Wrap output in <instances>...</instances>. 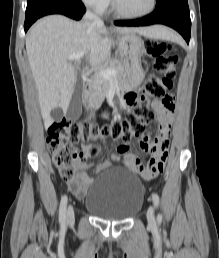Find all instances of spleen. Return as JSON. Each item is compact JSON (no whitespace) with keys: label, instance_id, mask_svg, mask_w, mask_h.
<instances>
[{"label":"spleen","instance_id":"obj_1","mask_svg":"<svg viewBox=\"0 0 219 258\" xmlns=\"http://www.w3.org/2000/svg\"><path fill=\"white\" fill-rule=\"evenodd\" d=\"M172 32H170L169 30L165 29V32L163 33V38H173V36L171 35Z\"/></svg>","mask_w":219,"mask_h":258}]
</instances>
